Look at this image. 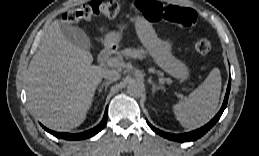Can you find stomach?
<instances>
[{"label":"stomach","instance_id":"0dacf381","mask_svg":"<svg viewBox=\"0 0 259 156\" xmlns=\"http://www.w3.org/2000/svg\"><path fill=\"white\" fill-rule=\"evenodd\" d=\"M133 21L141 43L157 66L174 78L187 79L189 77L188 67L172 54L171 43L158 38L154 29L143 18L136 17ZM119 39V32H112L107 36V40L112 44H118Z\"/></svg>","mask_w":259,"mask_h":156}]
</instances>
